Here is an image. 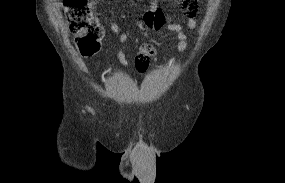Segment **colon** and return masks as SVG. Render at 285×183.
<instances>
[{
	"instance_id": "obj_1",
	"label": "colon",
	"mask_w": 285,
	"mask_h": 183,
	"mask_svg": "<svg viewBox=\"0 0 285 183\" xmlns=\"http://www.w3.org/2000/svg\"><path fill=\"white\" fill-rule=\"evenodd\" d=\"M88 1H64V11L67 15L69 30L76 36V47L85 56L94 55L99 51L104 34L102 26L89 11ZM147 67L145 63L136 64L140 73L145 72Z\"/></svg>"
}]
</instances>
